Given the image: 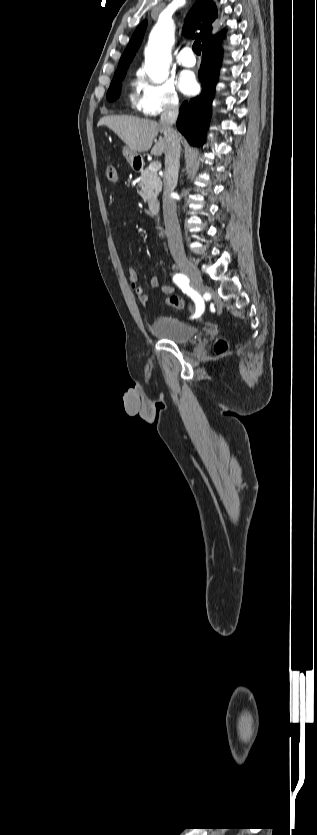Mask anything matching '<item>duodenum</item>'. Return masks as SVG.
Instances as JSON below:
<instances>
[{
	"mask_svg": "<svg viewBox=\"0 0 317 835\" xmlns=\"http://www.w3.org/2000/svg\"><path fill=\"white\" fill-rule=\"evenodd\" d=\"M135 168L139 170L141 168V164H135ZM148 208L151 212H157L160 209V201L157 198H150L148 200Z\"/></svg>",
	"mask_w": 317,
	"mask_h": 835,
	"instance_id": "obj_1",
	"label": "duodenum"
}]
</instances>
